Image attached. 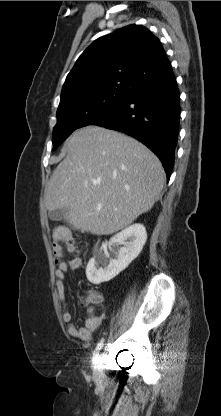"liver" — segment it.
Here are the masks:
<instances>
[{"mask_svg":"<svg viewBox=\"0 0 221 416\" xmlns=\"http://www.w3.org/2000/svg\"><path fill=\"white\" fill-rule=\"evenodd\" d=\"M67 156L45 188L48 211L67 209L69 225L109 235L131 224L159 199L165 172L144 144L123 133L89 125L66 143Z\"/></svg>","mask_w":221,"mask_h":416,"instance_id":"obj_1","label":"liver"}]
</instances>
